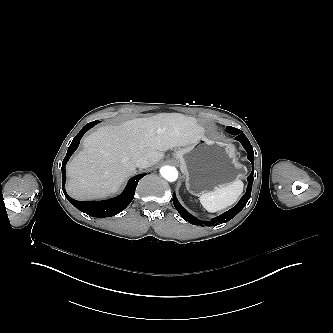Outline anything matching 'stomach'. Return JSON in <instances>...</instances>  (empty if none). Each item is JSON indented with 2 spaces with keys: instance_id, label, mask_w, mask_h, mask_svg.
<instances>
[{
  "instance_id": "stomach-1",
  "label": "stomach",
  "mask_w": 333,
  "mask_h": 333,
  "mask_svg": "<svg viewBox=\"0 0 333 333\" xmlns=\"http://www.w3.org/2000/svg\"><path fill=\"white\" fill-rule=\"evenodd\" d=\"M174 159L190 194L200 196L242 178L246 170L233 144L215 141L206 134L198 142L175 150Z\"/></svg>"
}]
</instances>
